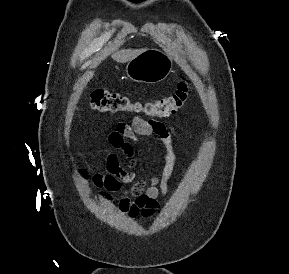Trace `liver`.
Instances as JSON below:
<instances>
[{
    "instance_id": "1",
    "label": "liver",
    "mask_w": 289,
    "mask_h": 274,
    "mask_svg": "<svg viewBox=\"0 0 289 274\" xmlns=\"http://www.w3.org/2000/svg\"><path fill=\"white\" fill-rule=\"evenodd\" d=\"M144 49H121L117 51L115 54L112 55L113 59L120 63H125L133 58H135L137 55H139L141 52H143ZM93 76V73H89L82 79V83L86 84Z\"/></svg>"
}]
</instances>
